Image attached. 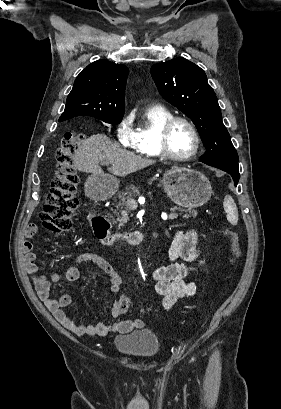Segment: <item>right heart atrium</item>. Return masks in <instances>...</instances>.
Here are the masks:
<instances>
[{
	"label": "right heart atrium",
	"mask_w": 281,
	"mask_h": 409,
	"mask_svg": "<svg viewBox=\"0 0 281 409\" xmlns=\"http://www.w3.org/2000/svg\"><path fill=\"white\" fill-rule=\"evenodd\" d=\"M133 119H122L116 125V137L118 141L125 147H131L133 140V130H132Z\"/></svg>",
	"instance_id": "obj_1"
}]
</instances>
